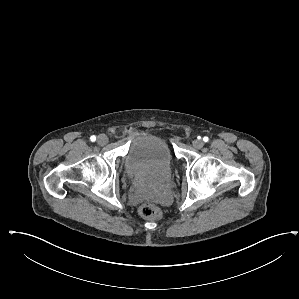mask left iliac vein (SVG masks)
<instances>
[{
  "mask_svg": "<svg viewBox=\"0 0 299 299\" xmlns=\"http://www.w3.org/2000/svg\"><path fill=\"white\" fill-rule=\"evenodd\" d=\"M192 145L196 149H201L203 147L204 143L202 140L196 139L192 142Z\"/></svg>",
  "mask_w": 299,
  "mask_h": 299,
  "instance_id": "obj_1",
  "label": "left iliac vein"
}]
</instances>
